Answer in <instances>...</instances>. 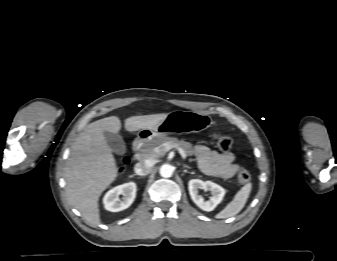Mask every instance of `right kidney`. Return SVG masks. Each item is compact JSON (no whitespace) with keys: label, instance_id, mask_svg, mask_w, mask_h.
I'll return each mask as SVG.
<instances>
[{"label":"right kidney","instance_id":"obj_1","mask_svg":"<svg viewBox=\"0 0 337 261\" xmlns=\"http://www.w3.org/2000/svg\"><path fill=\"white\" fill-rule=\"evenodd\" d=\"M119 195H123L122 200ZM136 196V184L134 182L125 183L112 188L103 198V204L106 210L119 212L128 208Z\"/></svg>","mask_w":337,"mask_h":261}]
</instances>
